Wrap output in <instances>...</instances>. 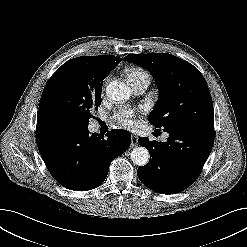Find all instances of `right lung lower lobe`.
Masks as SVG:
<instances>
[{
  "instance_id": "98d812e1",
  "label": "right lung lower lobe",
  "mask_w": 247,
  "mask_h": 247,
  "mask_svg": "<svg viewBox=\"0 0 247 247\" xmlns=\"http://www.w3.org/2000/svg\"><path fill=\"white\" fill-rule=\"evenodd\" d=\"M36 141L40 155L54 179L67 189L87 191L101 185L111 161L130 146L131 134L112 129L107 139L88 127L63 123L38 115Z\"/></svg>"
}]
</instances>
